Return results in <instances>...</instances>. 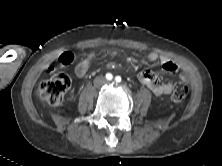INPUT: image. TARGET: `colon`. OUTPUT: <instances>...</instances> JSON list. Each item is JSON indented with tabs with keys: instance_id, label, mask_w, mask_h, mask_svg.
<instances>
[{
	"instance_id": "1",
	"label": "colon",
	"mask_w": 222,
	"mask_h": 166,
	"mask_svg": "<svg viewBox=\"0 0 222 166\" xmlns=\"http://www.w3.org/2000/svg\"><path fill=\"white\" fill-rule=\"evenodd\" d=\"M74 54L71 52H66L62 54L59 58L58 67L63 68L70 65L74 61ZM56 68L52 69L54 74L52 77L46 81H43L39 88V97L50 107H59L65 98V94L70 87V78L62 72H55ZM189 88L183 83L179 82L175 84L172 92V98L176 102H180L186 98L188 95Z\"/></svg>"
}]
</instances>
